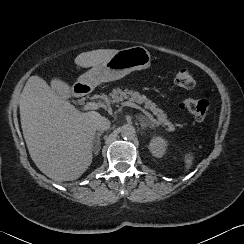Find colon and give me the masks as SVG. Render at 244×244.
<instances>
[{
    "mask_svg": "<svg viewBox=\"0 0 244 244\" xmlns=\"http://www.w3.org/2000/svg\"><path fill=\"white\" fill-rule=\"evenodd\" d=\"M195 84L193 75L185 69L180 70L173 80V86L178 89H192ZM182 105L197 121L206 120L212 110L209 101L198 100L190 96L183 98Z\"/></svg>",
    "mask_w": 244,
    "mask_h": 244,
    "instance_id": "5ec220e1",
    "label": "colon"
}]
</instances>
